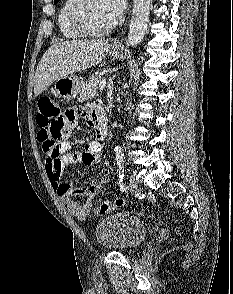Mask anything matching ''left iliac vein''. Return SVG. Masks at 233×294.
<instances>
[{
	"label": "left iliac vein",
	"instance_id": "4c4485c4",
	"mask_svg": "<svg viewBox=\"0 0 233 294\" xmlns=\"http://www.w3.org/2000/svg\"><path fill=\"white\" fill-rule=\"evenodd\" d=\"M130 191L134 194H141L142 189L138 188L137 183L134 179H131L129 182Z\"/></svg>",
	"mask_w": 233,
	"mask_h": 294
}]
</instances>
